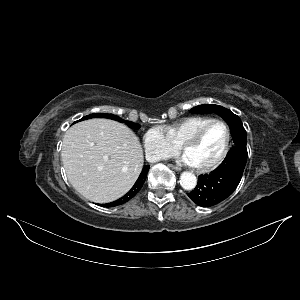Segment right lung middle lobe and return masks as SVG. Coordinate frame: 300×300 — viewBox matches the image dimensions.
Returning <instances> with one entry per match:
<instances>
[{
  "instance_id": "dd1d6c3e",
  "label": "right lung middle lobe",
  "mask_w": 300,
  "mask_h": 300,
  "mask_svg": "<svg viewBox=\"0 0 300 300\" xmlns=\"http://www.w3.org/2000/svg\"><path fill=\"white\" fill-rule=\"evenodd\" d=\"M93 117H97V118H109V119H113L119 122H124V120H122L121 118H119L116 115H112V114H105V113H94V114H90L88 116L83 117L80 120H85V119H89V118H93ZM126 124H128V126H130L131 128L134 129H138L139 125L135 124L133 122H129V121H125Z\"/></svg>"
}]
</instances>
